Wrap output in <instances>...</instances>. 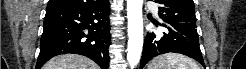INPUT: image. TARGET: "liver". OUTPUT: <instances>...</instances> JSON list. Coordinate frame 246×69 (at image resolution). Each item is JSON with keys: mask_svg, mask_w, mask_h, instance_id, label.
I'll use <instances>...</instances> for the list:
<instances>
[{"mask_svg": "<svg viewBox=\"0 0 246 69\" xmlns=\"http://www.w3.org/2000/svg\"><path fill=\"white\" fill-rule=\"evenodd\" d=\"M43 69H99V67L90 59L75 55H59L49 60Z\"/></svg>", "mask_w": 246, "mask_h": 69, "instance_id": "6515ba94", "label": "liver"}]
</instances>
